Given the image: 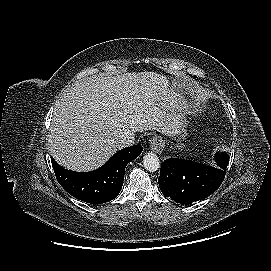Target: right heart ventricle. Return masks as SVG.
<instances>
[{
	"mask_svg": "<svg viewBox=\"0 0 271 271\" xmlns=\"http://www.w3.org/2000/svg\"><path fill=\"white\" fill-rule=\"evenodd\" d=\"M168 106L171 108V109H178L179 108V105L176 101L174 100H170L169 103H168Z\"/></svg>",
	"mask_w": 271,
	"mask_h": 271,
	"instance_id": "1",
	"label": "right heart ventricle"
}]
</instances>
